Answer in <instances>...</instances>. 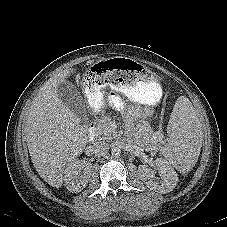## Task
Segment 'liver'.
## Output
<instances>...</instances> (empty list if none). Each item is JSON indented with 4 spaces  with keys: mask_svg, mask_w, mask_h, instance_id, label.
<instances>
[{
    "mask_svg": "<svg viewBox=\"0 0 227 227\" xmlns=\"http://www.w3.org/2000/svg\"><path fill=\"white\" fill-rule=\"evenodd\" d=\"M73 72L63 70L50 78L34 98L26 119L32 163L40 177L57 189L63 184L66 166L87 144L86 129L57 93L60 83Z\"/></svg>",
    "mask_w": 227,
    "mask_h": 227,
    "instance_id": "6515ba94",
    "label": "liver"
}]
</instances>
